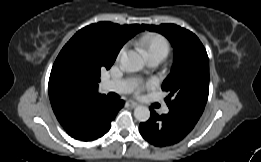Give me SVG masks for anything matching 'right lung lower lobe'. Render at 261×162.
Returning <instances> with one entry per match:
<instances>
[{"label": "right lung lower lobe", "mask_w": 261, "mask_h": 162, "mask_svg": "<svg viewBox=\"0 0 261 162\" xmlns=\"http://www.w3.org/2000/svg\"><path fill=\"white\" fill-rule=\"evenodd\" d=\"M124 101L107 99L97 102L65 126L66 132L81 141H92L102 137L111 127V121L123 107Z\"/></svg>", "instance_id": "right-lung-lower-lobe-1"}]
</instances>
